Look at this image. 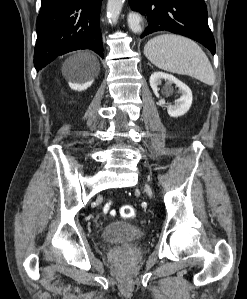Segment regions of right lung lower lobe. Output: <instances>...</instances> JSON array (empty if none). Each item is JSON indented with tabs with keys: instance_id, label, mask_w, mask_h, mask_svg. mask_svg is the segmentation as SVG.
<instances>
[{
	"instance_id": "1",
	"label": "right lung lower lobe",
	"mask_w": 247,
	"mask_h": 299,
	"mask_svg": "<svg viewBox=\"0 0 247 299\" xmlns=\"http://www.w3.org/2000/svg\"><path fill=\"white\" fill-rule=\"evenodd\" d=\"M101 3L102 0H41L34 49L36 70L78 49H92L103 58Z\"/></svg>"
}]
</instances>
